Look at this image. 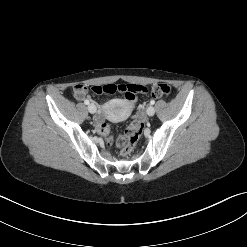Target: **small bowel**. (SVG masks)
<instances>
[{
  "label": "small bowel",
  "instance_id": "1",
  "mask_svg": "<svg viewBox=\"0 0 247 247\" xmlns=\"http://www.w3.org/2000/svg\"><path fill=\"white\" fill-rule=\"evenodd\" d=\"M86 95H87V92H85V93H83V94H76V93L74 92V96H75V98H76L77 100L83 99L84 97H86ZM128 106H129L130 109H134L133 106H130V104H128ZM96 122H97L99 128H101V126L103 125V114H102V113H100V114L98 115V117H97V119H96Z\"/></svg>",
  "mask_w": 247,
  "mask_h": 247
}]
</instances>
